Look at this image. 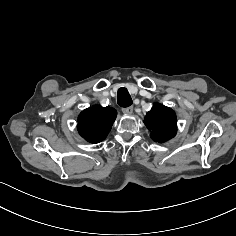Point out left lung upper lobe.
Instances as JSON below:
<instances>
[{"mask_svg": "<svg viewBox=\"0 0 236 236\" xmlns=\"http://www.w3.org/2000/svg\"><path fill=\"white\" fill-rule=\"evenodd\" d=\"M144 124L151 131V138L159 143L172 139L177 132V120L174 111L159 103H155L152 109L147 112Z\"/></svg>", "mask_w": 236, "mask_h": 236, "instance_id": "obj_1", "label": "left lung upper lobe"}]
</instances>
